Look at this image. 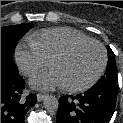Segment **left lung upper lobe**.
I'll return each instance as SVG.
<instances>
[{
  "label": "left lung upper lobe",
  "mask_w": 123,
  "mask_h": 123,
  "mask_svg": "<svg viewBox=\"0 0 123 123\" xmlns=\"http://www.w3.org/2000/svg\"><path fill=\"white\" fill-rule=\"evenodd\" d=\"M108 51V65L105 75L94 85L97 87H110L118 89L117 70L115 68V54L109 46Z\"/></svg>",
  "instance_id": "obj_1"
}]
</instances>
